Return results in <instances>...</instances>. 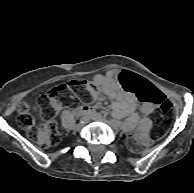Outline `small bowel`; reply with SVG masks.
Instances as JSON below:
<instances>
[{"label":"small bowel","mask_w":194,"mask_h":193,"mask_svg":"<svg viewBox=\"0 0 194 193\" xmlns=\"http://www.w3.org/2000/svg\"><path fill=\"white\" fill-rule=\"evenodd\" d=\"M149 82L148 80H146ZM155 91L161 93V91L149 82ZM92 94L98 97L100 100L109 98L113 100L112 113L117 118H129L132 123H137L138 118L134 113L138 105L136 95L128 90H124L121 83L118 80V71L110 69L104 74H97L92 79ZM162 94V93H161ZM54 105L57 110L61 109V105ZM155 104L143 103L140 111L143 118L139 121L135 136L145 141L148 136V132L151 128L150 115L154 111ZM91 109L88 105L80 106L75 110L76 114H81L82 111Z\"/></svg>","instance_id":"small-bowel-1"}]
</instances>
